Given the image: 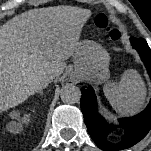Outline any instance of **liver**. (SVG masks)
Wrapping results in <instances>:
<instances>
[{
  "instance_id": "obj_1",
  "label": "liver",
  "mask_w": 151,
  "mask_h": 151,
  "mask_svg": "<svg viewBox=\"0 0 151 151\" xmlns=\"http://www.w3.org/2000/svg\"><path fill=\"white\" fill-rule=\"evenodd\" d=\"M90 15V10L79 7L40 8L0 26V113L26 101L62 73L61 62L77 51Z\"/></svg>"
}]
</instances>
